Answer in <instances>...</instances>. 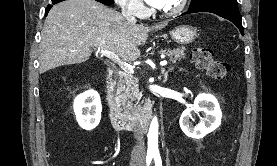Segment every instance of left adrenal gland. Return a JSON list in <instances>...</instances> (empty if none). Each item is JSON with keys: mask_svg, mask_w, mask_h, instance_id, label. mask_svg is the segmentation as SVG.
<instances>
[{"mask_svg": "<svg viewBox=\"0 0 277 166\" xmlns=\"http://www.w3.org/2000/svg\"><path fill=\"white\" fill-rule=\"evenodd\" d=\"M172 68H169L167 71H165V69H162V74H164V82L167 81V78H168V73L169 71H171Z\"/></svg>", "mask_w": 277, "mask_h": 166, "instance_id": "left-adrenal-gland-1", "label": "left adrenal gland"}]
</instances>
